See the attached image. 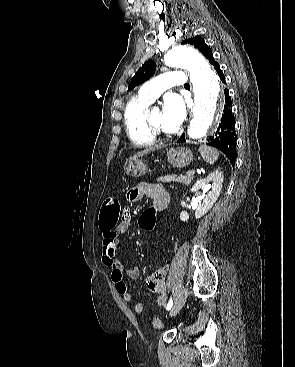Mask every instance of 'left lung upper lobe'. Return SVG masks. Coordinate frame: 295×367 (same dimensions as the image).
Returning a JSON list of instances; mask_svg holds the SVG:
<instances>
[{"mask_svg": "<svg viewBox=\"0 0 295 367\" xmlns=\"http://www.w3.org/2000/svg\"><path fill=\"white\" fill-rule=\"evenodd\" d=\"M181 44H190L196 47L209 61L214 59L211 49L207 46V44L200 36L185 39L182 41ZM155 69V63L152 60H148L147 62H145L131 79L128 91H131L135 86L142 84L144 81L152 77Z\"/></svg>", "mask_w": 295, "mask_h": 367, "instance_id": "left-lung-upper-lobe-1", "label": "left lung upper lobe"}]
</instances>
